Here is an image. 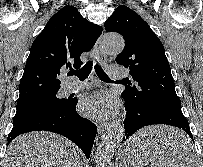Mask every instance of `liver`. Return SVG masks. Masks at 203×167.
Returning a JSON list of instances; mask_svg holds the SVG:
<instances>
[{
    "mask_svg": "<svg viewBox=\"0 0 203 167\" xmlns=\"http://www.w3.org/2000/svg\"><path fill=\"white\" fill-rule=\"evenodd\" d=\"M156 139L166 160H173L177 144L187 139L181 131L166 127H150L141 130L127 142L133 148L144 139ZM4 167H81L79 150L75 144L57 134L30 132L14 139L8 146Z\"/></svg>",
    "mask_w": 203,
    "mask_h": 167,
    "instance_id": "liver-1",
    "label": "liver"
}]
</instances>
